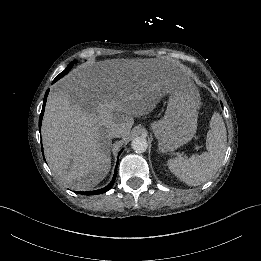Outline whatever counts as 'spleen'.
<instances>
[{
  "label": "spleen",
  "mask_w": 261,
  "mask_h": 261,
  "mask_svg": "<svg viewBox=\"0 0 261 261\" xmlns=\"http://www.w3.org/2000/svg\"><path fill=\"white\" fill-rule=\"evenodd\" d=\"M227 131L222 116L214 113L207 133V152L189 159L176 157L167 162L170 171L189 186H197L211 179L222 166L226 151Z\"/></svg>",
  "instance_id": "spleen-1"
}]
</instances>
